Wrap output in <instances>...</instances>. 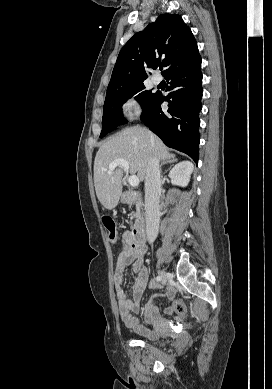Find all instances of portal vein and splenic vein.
<instances>
[{
	"instance_id": "obj_1",
	"label": "portal vein and splenic vein",
	"mask_w": 272,
	"mask_h": 389,
	"mask_svg": "<svg viewBox=\"0 0 272 389\" xmlns=\"http://www.w3.org/2000/svg\"><path fill=\"white\" fill-rule=\"evenodd\" d=\"M122 167L125 172L129 170V163L124 159H116L109 165L108 174H112L116 167ZM128 183L131 187H137L139 185V178L136 175H131L128 178Z\"/></svg>"
}]
</instances>
